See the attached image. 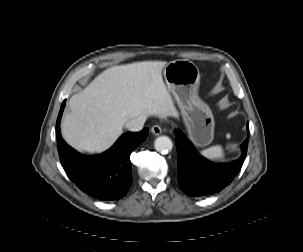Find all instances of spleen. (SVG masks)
Wrapping results in <instances>:
<instances>
[{
    "mask_svg": "<svg viewBox=\"0 0 303 252\" xmlns=\"http://www.w3.org/2000/svg\"><path fill=\"white\" fill-rule=\"evenodd\" d=\"M200 153L210 160H220L225 157V153L221 145L209 147L202 150Z\"/></svg>",
    "mask_w": 303,
    "mask_h": 252,
    "instance_id": "3e777b00",
    "label": "spleen"
}]
</instances>
